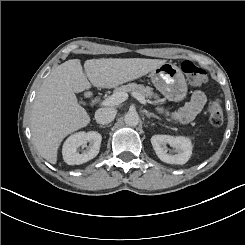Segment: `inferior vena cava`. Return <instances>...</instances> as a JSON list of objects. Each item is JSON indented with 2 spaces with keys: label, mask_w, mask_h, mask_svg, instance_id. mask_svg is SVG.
<instances>
[{
  "label": "inferior vena cava",
  "mask_w": 245,
  "mask_h": 245,
  "mask_svg": "<svg viewBox=\"0 0 245 245\" xmlns=\"http://www.w3.org/2000/svg\"><path fill=\"white\" fill-rule=\"evenodd\" d=\"M116 113L114 108L102 107L95 112V119L100 124H107L115 118Z\"/></svg>",
  "instance_id": "obj_1"
}]
</instances>
